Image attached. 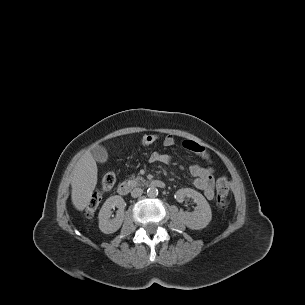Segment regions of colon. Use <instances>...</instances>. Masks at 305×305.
<instances>
[{"instance_id":"colon-1","label":"colon","mask_w":305,"mask_h":305,"mask_svg":"<svg viewBox=\"0 0 305 305\" xmlns=\"http://www.w3.org/2000/svg\"><path fill=\"white\" fill-rule=\"evenodd\" d=\"M157 140V135L155 134H146L140 140L142 146H149ZM190 148L195 149V146L189 145ZM116 182V174L113 171L107 172L101 181V189L94 192L91 196L85 212L87 216H93L96 212L98 206L101 203L103 193L110 190ZM217 206L221 209H224L229 204L228 193L230 189V181L226 176H222L217 181Z\"/></svg>"}]
</instances>
